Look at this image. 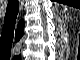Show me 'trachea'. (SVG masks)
<instances>
[{
    "mask_svg": "<svg viewBox=\"0 0 80 60\" xmlns=\"http://www.w3.org/2000/svg\"><path fill=\"white\" fill-rule=\"evenodd\" d=\"M19 11L18 0H8L5 13L3 30L0 37V54L3 56H11V47L13 43L14 29Z\"/></svg>",
    "mask_w": 80,
    "mask_h": 60,
    "instance_id": "3493384b",
    "label": "trachea"
}]
</instances>
